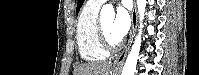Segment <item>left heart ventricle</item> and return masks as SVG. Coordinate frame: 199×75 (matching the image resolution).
I'll use <instances>...</instances> for the list:
<instances>
[{"mask_svg": "<svg viewBox=\"0 0 199 75\" xmlns=\"http://www.w3.org/2000/svg\"><path fill=\"white\" fill-rule=\"evenodd\" d=\"M112 23H113V19L112 18L105 19V20L102 21V27H103V30H104L108 40L110 42H112V43H116L118 41L115 39V37L111 33Z\"/></svg>", "mask_w": 199, "mask_h": 75, "instance_id": "obj_1", "label": "left heart ventricle"}]
</instances>
